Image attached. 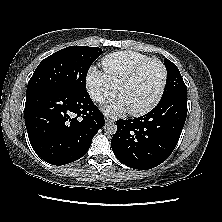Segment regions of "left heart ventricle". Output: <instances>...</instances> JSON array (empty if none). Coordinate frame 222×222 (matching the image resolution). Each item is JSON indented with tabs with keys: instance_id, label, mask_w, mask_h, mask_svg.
<instances>
[{
	"instance_id": "1",
	"label": "left heart ventricle",
	"mask_w": 222,
	"mask_h": 222,
	"mask_svg": "<svg viewBox=\"0 0 222 222\" xmlns=\"http://www.w3.org/2000/svg\"><path fill=\"white\" fill-rule=\"evenodd\" d=\"M162 83V69L157 62L148 63L136 79L121 91L128 109L145 106L157 95Z\"/></svg>"
}]
</instances>
